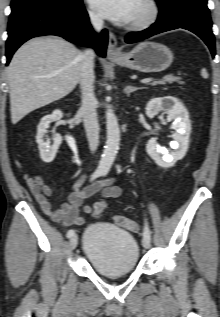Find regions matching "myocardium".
Here are the masks:
<instances>
[{
  "label": "myocardium",
  "mask_w": 220,
  "mask_h": 317,
  "mask_svg": "<svg viewBox=\"0 0 220 317\" xmlns=\"http://www.w3.org/2000/svg\"><path fill=\"white\" fill-rule=\"evenodd\" d=\"M145 6V13L127 24V28L130 30H143L151 27L156 23L160 16V6L157 0H142Z\"/></svg>",
  "instance_id": "f54148a6"
}]
</instances>
